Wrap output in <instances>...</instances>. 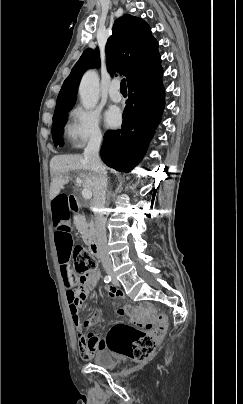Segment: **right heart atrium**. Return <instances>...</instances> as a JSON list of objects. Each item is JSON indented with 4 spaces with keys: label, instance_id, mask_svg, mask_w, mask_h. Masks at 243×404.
<instances>
[{
    "label": "right heart atrium",
    "instance_id": "d8ad5b80",
    "mask_svg": "<svg viewBox=\"0 0 243 404\" xmlns=\"http://www.w3.org/2000/svg\"><path fill=\"white\" fill-rule=\"evenodd\" d=\"M65 136L69 147L75 151L100 144L103 134L99 113L94 109L75 105L68 113Z\"/></svg>",
    "mask_w": 243,
    "mask_h": 404
}]
</instances>
